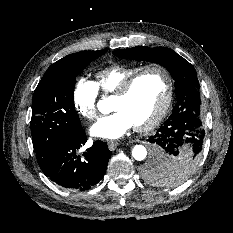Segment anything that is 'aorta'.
<instances>
[{"mask_svg": "<svg viewBox=\"0 0 233 233\" xmlns=\"http://www.w3.org/2000/svg\"><path fill=\"white\" fill-rule=\"evenodd\" d=\"M107 107L106 100H101L98 103V109L104 112V108ZM132 156L137 161H142L147 157V149L143 145H135L132 149Z\"/></svg>", "mask_w": 233, "mask_h": 233, "instance_id": "obj_1", "label": "aorta"}]
</instances>
